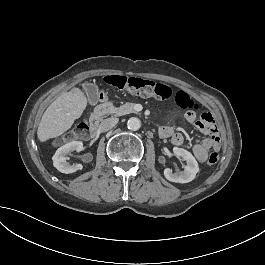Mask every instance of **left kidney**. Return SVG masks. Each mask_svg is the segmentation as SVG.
Returning <instances> with one entry per match:
<instances>
[{
    "label": "left kidney",
    "instance_id": "left-kidney-1",
    "mask_svg": "<svg viewBox=\"0 0 265 265\" xmlns=\"http://www.w3.org/2000/svg\"><path fill=\"white\" fill-rule=\"evenodd\" d=\"M173 153L175 156L182 157L187 165L184 166V171L172 173L170 168L164 170V176L167 180L176 183H188L192 181L199 172V166L194 156L183 148L174 147Z\"/></svg>",
    "mask_w": 265,
    "mask_h": 265
}]
</instances>
